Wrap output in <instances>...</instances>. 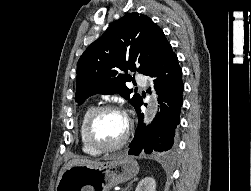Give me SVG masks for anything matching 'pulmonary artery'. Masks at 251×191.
<instances>
[{
	"label": "pulmonary artery",
	"mask_w": 251,
	"mask_h": 191,
	"mask_svg": "<svg viewBox=\"0 0 251 191\" xmlns=\"http://www.w3.org/2000/svg\"><path fill=\"white\" fill-rule=\"evenodd\" d=\"M134 80L135 82H137L138 86H146V81H144L145 79V73H134Z\"/></svg>",
	"instance_id": "e3ab8cb5"
}]
</instances>
